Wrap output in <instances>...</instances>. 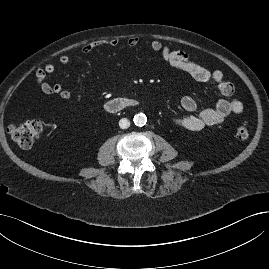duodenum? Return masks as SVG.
Instances as JSON below:
<instances>
[{
    "instance_id": "1",
    "label": "duodenum",
    "mask_w": 269,
    "mask_h": 269,
    "mask_svg": "<svg viewBox=\"0 0 269 269\" xmlns=\"http://www.w3.org/2000/svg\"><path fill=\"white\" fill-rule=\"evenodd\" d=\"M138 104L139 102L135 99L117 98V99H113L106 102L104 107H105V110L109 113H117L121 110L130 108V107H135Z\"/></svg>"
}]
</instances>
